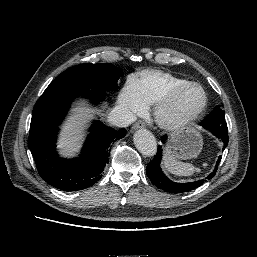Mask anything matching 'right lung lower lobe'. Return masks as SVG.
<instances>
[{
	"mask_svg": "<svg viewBox=\"0 0 257 257\" xmlns=\"http://www.w3.org/2000/svg\"><path fill=\"white\" fill-rule=\"evenodd\" d=\"M77 95L98 102L104 99L106 92L66 89L43 94L34 106L28 138V146L42 179L64 191L82 190L99 181L109 162L110 143L126 135L125 129L116 131L96 121L90 128L82 154L75 159L59 158L55 150L58 125Z\"/></svg>",
	"mask_w": 257,
	"mask_h": 257,
	"instance_id": "right-lung-lower-lobe-1",
	"label": "right lung lower lobe"
}]
</instances>
